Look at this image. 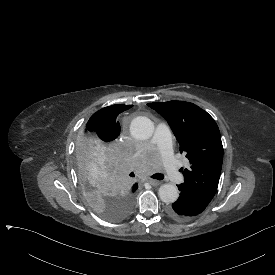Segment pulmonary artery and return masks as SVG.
<instances>
[{"mask_svg":"<svg viewBox=\"0 0 275 275\" xmlns=\"http://www.w3.org/2000/svg\"><path fill=\"white\" fill-rule=\"evenodd\" d=\"M156 126L160 130L152 137L151 144L157 145L161 141L158 145V151L164 160L166 175L169 180L176 181L180 177V171L177 156L174 152L173 131L168 129L169 123L164 118H159L156 121Z\"/></svg>","mask_w":275,"mask_h":275,"instance_id":"obj_1","label":"pulmonary artery"}]
</instances>
